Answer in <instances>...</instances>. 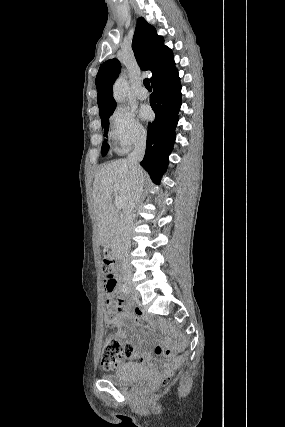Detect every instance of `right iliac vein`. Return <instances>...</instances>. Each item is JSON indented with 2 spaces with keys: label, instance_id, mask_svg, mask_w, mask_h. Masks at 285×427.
<instances>
[{
  "label": "right iliac vein",
  "instance_id": "obj_1",
  "mask_svg": "<svg viewBox=\"0 0 285 427\" xmlns=\"http://www.w3.org/2000/svg\"><path fill=\"white\" fill-rule=\"evenodd\" d=\"M126 284H127V287L130 289V291H132V292L137 296V295H138V293H137V291H135V290H134V288H133V286H132V284H131L130 280H128V281L126 282Z\"/></svg>",
  "mask_w": 285,
  "mask_h": 427
}]
</instances>
